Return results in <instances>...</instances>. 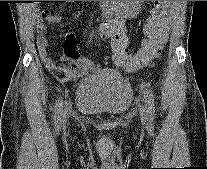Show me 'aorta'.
<instances>
[{"label": "aorta", "instance_id": "aorta-1", "mask_svg": "<svg viewBox=\"0 0 207 169\" xmlns=\"http://www.w3.org/2000/svg\"><path fill=\"white\" fill-rule=\"evenodd\" d=\"M131 4H134L133 1H110L109 7L111 11L114 12H126L128 9V6H131Z\"/></svg>", "mask_w": 207, "mask_h": 169}]
</instances>
